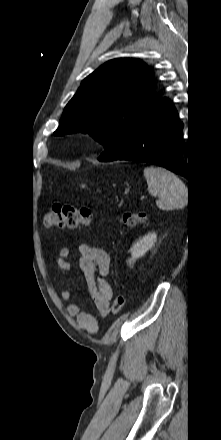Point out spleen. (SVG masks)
I'll use <instances>...</instances> for the list:
<instances>
[{
    "label": "spleen",
    "instance_id": "obj_1",
    "mask_svg": "<svg viewBox=\"0 0 221 440\" xmlns=\"http://www.w3.org/2000/svg\"><path fill=\"white\" fill-rule=\"evenodd\" d=\"M144 177L149 193L158 197L157 206L162 210L182 208L187 203L188 189L172 172L161 167H146Z\"/></svg>",
    "mask_w": 221,
    "mask_h": 440
}]
</instances>
